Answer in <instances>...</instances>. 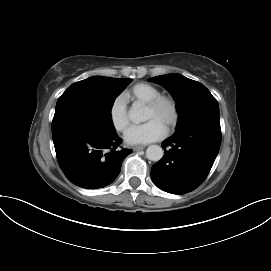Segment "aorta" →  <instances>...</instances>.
<instances>
[{
    "instance_id": "obj_1",
    "label": "aorta",
    "mask_w": 271,
    "mask_h": 271,
    "mask_svg": "<svg viewBox=\"0 0 271 271\" xmlns=\"http://www.w3.org/2000/svg\"><path fill=\"white\" fill-rule=\"evenodd\" d=\"M129 118L132 122L138 124L146 121L147 116L144 109L135 103L129 111ZM163 155V149L158 145H150L146 150V156L151 161L157 162L162 159Z\"/></svg>"
}]
</instances>
